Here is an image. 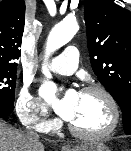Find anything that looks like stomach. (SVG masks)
<instances>
[{"label":"stomach","mask_w":131,"mask_h":151,"mask_svg":"<svg viewBox=\"0 0 131 151\" xmlns=\"http://www.w3.org/2000/svg\"><path fill=\"white\" fill-rule=\"evenodd\" d=\"M64 151H110V149L100 141H92L78 147L65 148Z\"/></svg>","instance_id":"obj_1"}]
</instances>
